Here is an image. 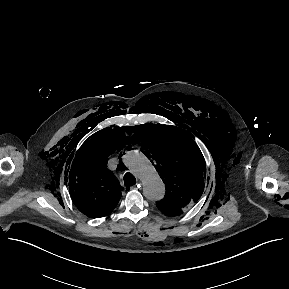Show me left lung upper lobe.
I'll return each instance as SVG.
<instances>
[{
    "label": "left lung upper lobe",
    "mask_w": 289,
    "mask_h": 289,
    "mask_svg": "<svg viewBox=\"0 0 289 289\" xmlns=\"http://www.w3.org/2000/svg\"><path fill=\"white\" fill-rule=\"evenodd\" d=\"M142 149L156 163L166 185L165 197L156 202L158 209L173 216L196 203L204 189L206 165L193 139L182 129L169 125L145 124L141 127Z\"/></svg>",
    "instance_id": "left-lung-upper-lobe-1"
}]
</instances>
